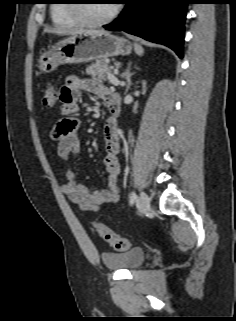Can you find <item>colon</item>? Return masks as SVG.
<instances>
[{"label":"colon","instance_id":"colon-1","mask_svg":"<svg viewBox=\"0 0 236 321\" xmlns=\"http://www.w3.org/2000/svg\"><path fill=\"white\" fill-rule=\"evenodd\" d=\"M57 99L58 94L56 88L52 85L46 86L42 94L43 105L46 107H54L57 103ZM93 226L96 232L99 234V236L106 243H108L114 250L118 252H124L129 250L130 242L128 239L118 235L112 229L100 222H95Z\"/></svg>","mask_w":236,"mask_h":321}]
</instances>
